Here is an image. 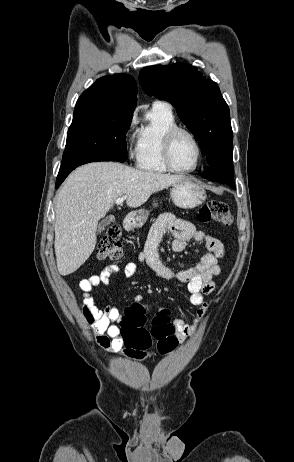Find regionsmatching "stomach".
Segmentation results:
<instances>
[{"label":"stomach","mask_w":294,"mask_h":462,"mask_svg":"<svg viewBox=\"0 0 294 462\" xmlns=\"http://www.w3.org/2000/svg\"><path fill=\"white\" fill-rule=\"evenodd\" d=\"M170 195L173 203L180 208L190 209L201 205L206 199L205 190L189 178H185L172 185ZM149 212L139 209L132 213V223L141 227L148 219Z\"/></svg>","instance_id":"stomach-1"}]
</instances>
